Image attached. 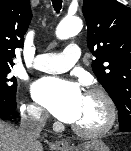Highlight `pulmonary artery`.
<instances>
[{
  "label": "pulmonary artery",
  "mask_w": 131,
  "mask_h": 151,
  "mask_svg": "<svg viewBox=\"0 0 131 151\" xmlns=\"http://www.w3.org/2000/svg\"><path fill=\"white\" fill-rule=\"evenodd\" d=\"M81 55L76 43H70L62 53H43L36 56L33 67L47 73H63L75 65Z\"/></svg>",
  "instance_id": "pulmonary-artery-1"
}]
</instances>
